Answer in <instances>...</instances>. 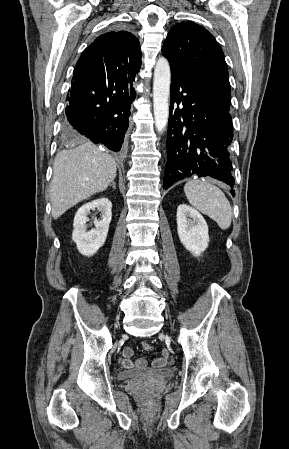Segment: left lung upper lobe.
Masks as SVG:
<instances>
[{
	"instance_id": "obj_1",
	"label": "left lung upper lobe",
	"mask_w": 289,
	"mask_h": 449,
	"mask_svg": "<svg viewBox=\"0 0 289 449\" xmlns=\"http://www.w3.org/2000/svg\"><path fill=\"white\" fill-rule=\"evenodd\" d=\"M162 52L177 73H190L230 105L231 93L224 54L202 26L182 22L168 33Z\"/></svg>"
}]
</instances>
